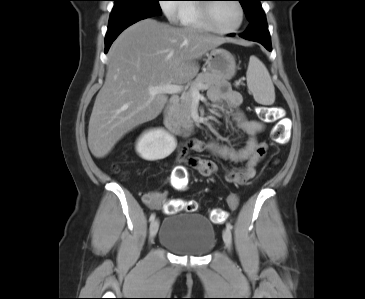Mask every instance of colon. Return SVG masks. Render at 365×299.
<instances>
[{"instance_id":"obj_1","label":"colon","mask_w":365,"mask_h":299,"mask_svg":"<svg viewBox=\"0 0 365 299\" xmlns=\"http://www.w3.org/2000/svg\"><path fill=\"white\" fill-rule=\"evenodd\" d=\"M259 115L262 120L267 122H276L272 130L271 137L275 142L284 143L288 138V130L282 123V109L275 106H261ZM173 184L177 190H185L187 188V178L184 173H176L173 177ZM228 205L230 209H236L238 206V196L232 194L229 196ZM198 209V203L195 201H184L173 199L168 201L164 206V212L174 214L178 211L185 210L194 212ZM211 220L216 224H221L227 219V212L222 208H215L211 211Z\"/></svg>"}]
</instances>
